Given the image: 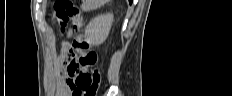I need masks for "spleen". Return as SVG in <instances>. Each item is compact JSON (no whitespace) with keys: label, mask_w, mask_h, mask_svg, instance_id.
<instances>
[{"label":"spleen","mask_w":232,"mask_h":96,"mask_svg":"<svg viewBox=\"0 0 232 96\" xmlns=\"http://www.w3.org/2000/svg\"><path fill=\"white\" fill-rule=\"evenodd\" d=\"M106 0H83L81 8L84 12H89L100 8Z\"/></svg>","instance_id":"3e777b00"}]
</instances>
